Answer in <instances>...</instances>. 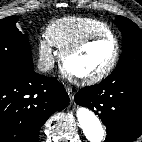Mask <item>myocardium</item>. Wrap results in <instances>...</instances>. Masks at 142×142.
Returning a JSON list of instances; mask_svg holds the SVG:
<instances>
[{
    "label": "myocardium",
    "mask_w": 142,
    "mask_h": 142,
    "mask_svg": "<svg viewBox=\"0 0 142 142\" xmlns=\"http://www.w3.org/2000/svg\"><path fill=\"white\" fill-rule=\"evenodd\" d=\"M104 39H110L114 42L115 53H114V56H113L112 60L110 61V63L103 70H101L100 72H98L96 74H93L90 76H84V77L74 75L67 70L65 64H66V60L69 57L79 53L80 51L85 49L91 43L98 41V40H104ZM120 53H121L120 43L115 35H113V34L90 35V36H87V37L83 38L82 40L78 41L77 43L73 44L72 46H70L69 48L64 50L63 52H61L60 67H61L62 71L70 79H72L80 84H83V85H91V84L98 83L101 80L105 79L114 70V68L116 67V65L118 63Z\"/></svg>",
    "instance_id": "obj_1"
}]
</instances>
